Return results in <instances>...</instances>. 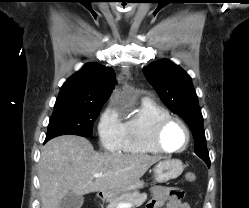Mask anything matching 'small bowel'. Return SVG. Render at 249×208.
Instances as JSON below:
<instances>
[{
	"mask_svg": "<svg viewBox=\"0 0 249 208\" xmlns=\"http://www.w3.org/2000/svg\"><path fill=\"white\" fill-rule=\"evenodd\" d=\"M183 191L174 187L156 186L152 188V199L146 208H190V206L182 201Z\"/></svg>",
	"mask_w": 249,
	"mask_h": 208,
	"instance_id": "obj_1",
	"label": "small bowel"
}]
</instances>
